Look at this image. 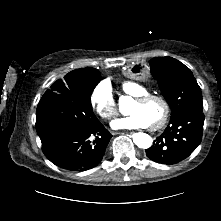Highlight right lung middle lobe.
<instances>
[{
    "instance_id": "1",
    "label": "right lung middle lobe",
    "mask_w": 221,
    "mask_h": 221,
    "mask_svg": "<svg viewBox=\"0 0 221 221\" xmlns=\"http://www.w3.org/2000/svg\"><path fill=\"white\" fill-rule=\"evenodd\" d=\"M99 80L100 75L96 71L69 81L59 79L52 84L36 110V130L42 144L98 122L92 111L90 96Z\"/></svg>"
}]
</instances>
